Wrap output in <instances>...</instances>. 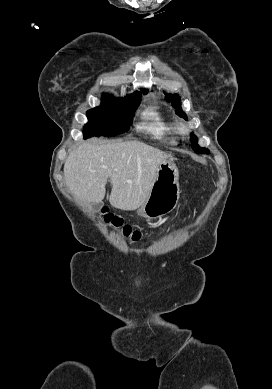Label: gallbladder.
Here are the masks:
<instances>
[{
  "instance_id": "bac80fb5",
  "label": "gallbladder",
  "mask_w": 272,
  "mask_h": 389,
  "mask_svg": "<svg viewBox=\"0 0 272 389\" xmlns=\"http://www.w3.org/2000/svg\"><path fill=\"white\" fill-rule=\"evenodd\" d=\"M100 206H101V204H100V203H95V204H94V207H95L96 209H99V208H100Z\"/></svg>"
}]
</instances>
